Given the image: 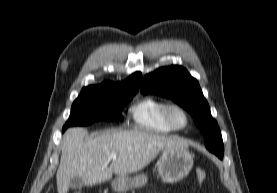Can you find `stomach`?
Wrapping results in <instances>:
<instances>
[{"label": "stomach", "instance_id": "obj_1", "mask_svg": "<svg viewBox=\"0 0 277 193\" xmlns=\"http://www.w3.org/2000/svg\"><path fill=\"white\" fill-rule=\"evenodd\" d=\"M158 173L163 182L176 183L188 175L193 166V157L187 148L164 149L158 160ZM146 174L134 176L117 175L112 181L113 190L118 193H126L133 188H139L146 184Z\"/></svg>", "mask_w": 277, "mask_h": 193}]
</instances>
